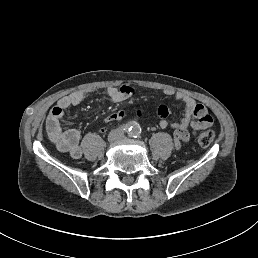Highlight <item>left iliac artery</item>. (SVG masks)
Masks as SVG:
<instances>
[{"mask_svg": "<svg viewBox=\"0 0 258 258\" xmlns=\"http://www.w3.org/2000/svg\"><path fill=\"white\" fill-rule=\"evenodd\" d=\"M141 134V127L138 123H134L132 125L131 130L129 131V135L133 138H138Z\"/></svg>", "mask_w": 258, "mask_h": 258, "instance_id": "44dca946", "label": "left iliac artery"}]
</instances>
